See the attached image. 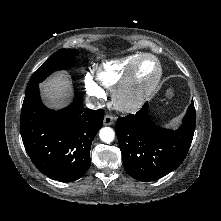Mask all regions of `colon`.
<instances>
[{"mask_svg":"<svg viewBox=\"0 0 221 221\" xmlns=\"http://www.w3.org/2000/svg\"><path fill=\"white\" fill-rule=\"evenodd\" d=\"M167 96H168L169 98L172 97V91H171V90H169V91L167 92Z\"/></svg>","mask_w":221,"mask_h":221,"instance_id":"obj_1","label":"colon"}]
</instances>
